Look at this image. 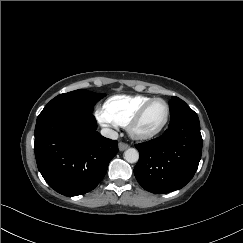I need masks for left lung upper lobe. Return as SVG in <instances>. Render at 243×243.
Segmentation results:
<instances>
[{"mask_svg":"<svg viewBox=\"0 0 243 243\" xmlns=\"http://www.w3.org/2000/svg\"><path fill=\"white\" fill-rule=\"evenodd\" d=\"M171 122L185 116L197 115L183 100L173 96L169 101Z\"/></svg>","mask_w":243,"mask_h":243,"instance_id":"1","label":"left lung upper lobe"}]
</instances>
